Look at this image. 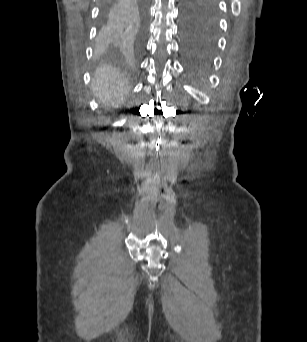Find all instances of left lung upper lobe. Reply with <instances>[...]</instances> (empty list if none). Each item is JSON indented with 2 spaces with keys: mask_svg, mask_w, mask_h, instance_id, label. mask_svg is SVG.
<instances>
[{
  "mask_svg": "<svg viewBox=\"0 0 307 342\" xmlns=\"http://www.w3.org/2000/svg\"><path fill=\"white\" fill-rule=\"evenodd\" d=\"M182 36L190 54H206L216 45L218 14L215 0H183Z\"/></svg>",
  "mask_w": 307,
  "mask_h": 342,
  "instance_id": "left-lung-upper-lobe-1",
  "label": "left lung upper lobe"
}]
</instances>
